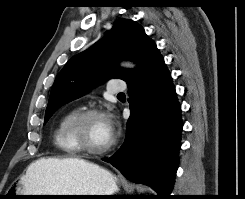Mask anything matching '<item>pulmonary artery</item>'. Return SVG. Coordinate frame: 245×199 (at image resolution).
Segmentation results:
<instances>
[{
	"label": "pulmonary artery",
	"mask_w": 245,
	"mask_h": 199,
	"mask_svg": "<svg viewBox=\"0 0 245 199\" xmlns=\"http://www.w3.org/2000/svg\"><path fill=\"white\" fill-rule=\"evenodd\" d=\"M126 90V84L119 80L111 81L108 85V92L110 94L122 93Z\"/></svg>",
	"instance_id": "obj_1"
}]
</instances>
